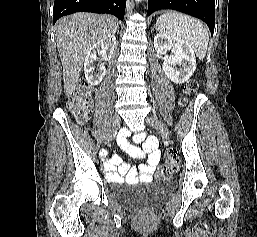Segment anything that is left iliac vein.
Returning a JSON list of instances; mask_svg holds the SVG:
<instances>
[{
    "mask_svg": "<svg viewBox=\"0 0 257 237\" xmlns=\"http://www.w3.org/2000/svg\"><path fill=\"white\" fill-rule=\"evenodd\" d=\"M147 123L153 128H155L163 138L169 139V131L160 120H158L157 118L148 117Z\"/></svg>",
    "mask_w": 257,
    "mask_h": 237,
    "instance_id": "4c4485c4",
    "label": "left iliac vein"
}]
</instances>
